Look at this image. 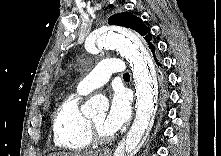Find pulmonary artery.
I'll return each mask as SVG.
<instances>
[{
	"label": "pulmonary artery",
	"instance_id": "pulmonary-artery-1",
	"mask_svg": "<svg viewBox=\"0 0 221 156\" xmlns=\"http://www.w3.org/2000/svg\"><path fill=\"white\" fill-rule=\"evenodd\" d=\"M124 71L125 65L120 59H104L79 82L77 90L83 94L91 93L107 83L112 74H121Z\"/></svg>",
	"mask_w": 221,
	"mask_h": 156
}]
</instances>
